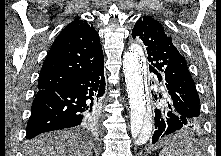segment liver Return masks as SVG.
<instances>
[{"mask_svg": "<svg viewBox=\"0 0 221 156\" xmlns=\"http://www.w3.org/2000/svg\"><path fill=\"white\" fill-rule=\"evenodd\" d=\"M92 144L71 131L39 135L26 143L25 156H92Z\"/></svg>", "mask_w": 221, "mask_h": 156, "instance_id": "1", "label": "liver"}]
</instances>
